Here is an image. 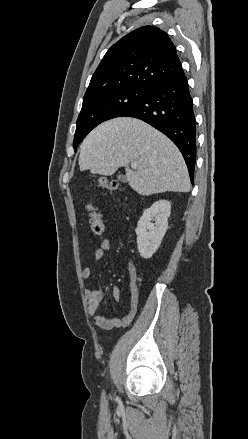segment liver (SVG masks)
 <instances>
[{
    "label": "liver",
    "instance_id": "1",
    "mask_svg": "<svg viewBox=\"0 0 248 439\" xmlns=\"http://www.w3.org/2000/svg\"><path fill=\"white\" fill-rule=\"evenodd\" d=\"M136 162L135 169L129 163ZM81 171L113 175L125 167L130 187L138 194L189 192L191 183L185 161L175 144L147 123L130 117L103 122L80 147Z\"/></svg>",
    "mask_w": 248,
    "mask_h": 439
}]
</instances>
